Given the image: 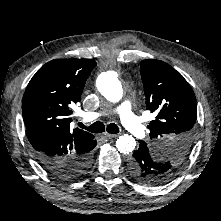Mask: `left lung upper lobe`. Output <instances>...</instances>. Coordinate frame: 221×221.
Segmentation results:
<instances>
[{
  "label": "left lung upper lobe",
  "mask_w": 221,
  "mask_h": 221,
  "mask_svg": "<svg viewBox=\"0 0 221 221\" xmlns=\"http://www.w3.org/2000/svg\"><path fill=\"white\" fill-rule=\"evenodd\" d=\"M141 77L146 107L157 114L150 122V138L156 144L155 160L161 166L156 183L170 180L191 150L197 118L196 98L189 83L169 64L143 60Z\"/></svg>",
  "instance_id": "obj_1"
}]
</instances>
